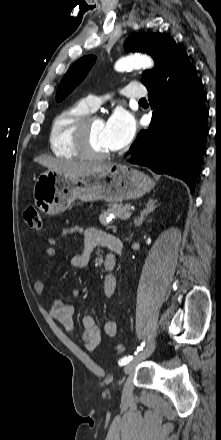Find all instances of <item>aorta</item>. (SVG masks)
I'll list each match as a JSON object with an SVG mask.
<instances>
[{
	"label": "aorta",
	"instance_id": "obj_1",
	"mask_svg": "<svg viewBox=\"0 0 221 440\" xmlns=\"http://www.w3.org/2000/svg\"><path fill=\"white\" fill-rule=\"evenodd\" d=\"M154 66L152 58L145 54H132L119 59L115 64L117 71H125L128 69L151 68Z\"/></svg>",
	"mask_w": 221,
	"mask_h": 440
}]
</instances>
